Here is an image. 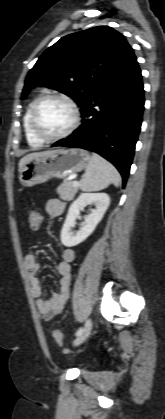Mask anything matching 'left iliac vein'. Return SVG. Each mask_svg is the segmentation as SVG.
<instances>
[{"instance_id": "left-iliac-vein-1", "label": "left iliac vein", "mask_w": 165, "mask_h": 419, "mask_svg": "<svg viewBox=\"0 0 165 419\" xmlns=\"http://www.w3.org/2000/svg\"><path fill=\"white\" fill-rule=\"evenodd\" d=\"M92 330V320L88 319L84 325V328L80 335L77 336V338L73 341L72 345L73 347L79 346L82 344L90 335Z\"/></svg>"}]
</instances>
